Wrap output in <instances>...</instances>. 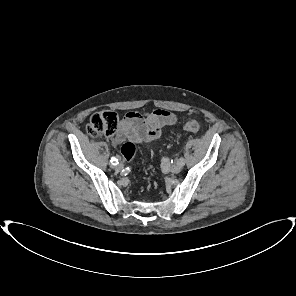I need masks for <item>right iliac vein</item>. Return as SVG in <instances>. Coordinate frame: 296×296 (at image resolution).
<instances>
[{
    "mask_svg": "<svg viewBox=\"0 0 296 296\" xmlns=\"http://www.w3.org/2000/svg\"><path fill=\"white\" fill-rule=\"evenodd\" d=\"M123 164L122 163H119V164H117L116 166H115V170L116 171H121L122 169H123Z\"/></svg>",
    "mask_w": 296,
    "mask_h": 296,
    "instance_id": "right-iliac-vein-1",
    "label": "right iliac vein"
}]
</instances>
